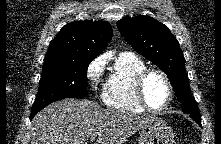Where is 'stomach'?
I'll return each mask as SVG.
<instances>
[{"instance_id": "0dacf381", "label": "stomach", "mask_w": 221, "mask_h": 144, "mask_svg": "<svg viewBox=\"0 0 221 144\" xmlns=\"http://www.w3.org/2000/svg\"><path fill=\"white\" fill-rule=\"evenodd\" d=\"M139 144H174V132L161 118L141 129Z\"/></svg>"}]
</instances>
